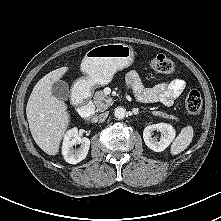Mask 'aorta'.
<instances>
[{
    "instance_id": "obj_1",
    "label": "aorta",
    "mask_w": 221,
    "mask_h": 221,
    "mask_svg": "<svg viewBox=\"0 0 221 221\" xmlns=\"http://www.w3.org/2000/svg\"><path fill=\"white\" fill-rule=\"evenodd\" d=\"M114 116L118 119H123L126 116V109L123 107H116L114 110Z\"/></svg>"
}]
</instances>
